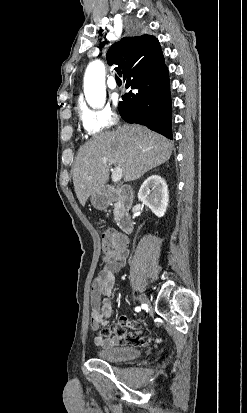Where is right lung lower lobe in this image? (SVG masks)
Segmentation results:
<instances>
[{
    "label": "right lung lower lobe",
    "instance_id": "right-lung-lower-lobe-1",
    "mask_svg": "<svg viewBox=\"0 0 247 413\" xmlns=\"http://www.w3.org/2000/svg\"><path fill=\"white\" fill-rule=\"evenodd\" d=\"M126 87L134 93L122 96L119 113L128 123L147 126L169 139L171 130V98L168 69L165 62L141 75L126 77Z\"/></svg>",
    "mask_w": 247,
    "mask_h": 413
}]
</instances>
